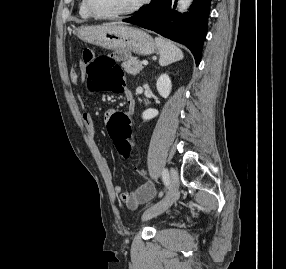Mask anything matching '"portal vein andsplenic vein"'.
Wrapping results in <instances>:
<instances>
[{"label":"portal vein and splenic vein","instance_id":"obj_1","mask_svg":"<svg viewBox=\"0 0 286 269\" xmlns=\"http://www.w3.org/2000/svg\"><path fill=\"white\" fill-rule=\"evenodd\" d=\"M142 64H143V65H147V64H148V61H147V60H144V61H142Z\"/></svg>","mask_w":286,"mask_h":269}]
</instances>
